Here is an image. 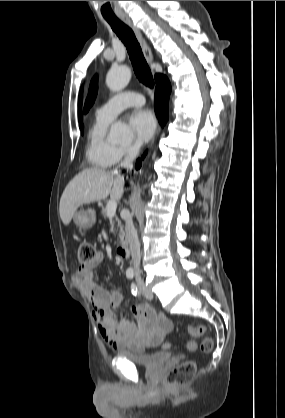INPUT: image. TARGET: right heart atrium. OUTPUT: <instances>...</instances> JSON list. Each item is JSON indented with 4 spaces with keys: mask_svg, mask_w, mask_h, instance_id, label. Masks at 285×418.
<instances>
[{
    "mask_svg": "<svg viewBox=\"0 0 285 418\" xmlns=\"http://www.w3.org/2000/svg\"><path fill=\"white\" fill-rule=\"evenodd\" d=\"M137 150H138L137 145L118 146L116 162L132 157L134 154H136Z\"/></svg>",
    "mask_w": 285,
    "mask_h": 418,
    "instance_id": "right-heart-atrium-1",
    "label": "right heart atrium"
}]
</instances>
